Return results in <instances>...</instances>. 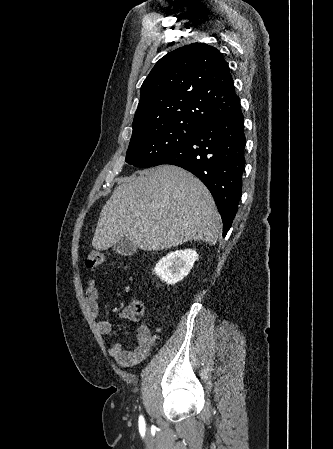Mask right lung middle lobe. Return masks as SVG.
Here are the masks:
<instances>
[{"instance_id": "1", "label": "right lung middle lobe", "mask_w": 333, "mask_h": 449, "mask_svg": "<svg viewBox=\"0 0 333 449\" xmlns=\"http://www.w3.org/2000/svg\"><path fill=\"white\" fill-rule=\"evenodd\" d=\"M200 127L192 122L169 123L132 137L125 161L140 168L156 166Z\"/></svg>"}]
</instances>
